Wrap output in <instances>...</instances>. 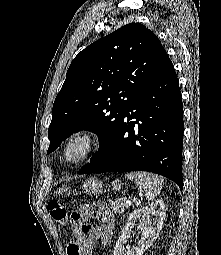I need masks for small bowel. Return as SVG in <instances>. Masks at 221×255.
<instances>
[{
	"mask_svg": "<svg viewBox=\"0 0 221 255\" xmlns=\"http://www.w3.org/2000/svg\"><path fill=\"white\" fill-rule=\"evenodd\" d=\"M92 216L99 220L97 226L86 225L83 231H74V239L69 242L67 255H92L97 243L109 246L111 243L114 216L102 203L92 205Z\"/></svg>",
	"mask_w": 221,
	"mask_h": 255,
	"instance_id": "c3829d8e",
	"label": "small bowel"
}]
</instances>
